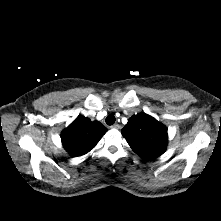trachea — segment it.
I'll return each mask as SVG.
<instances>
[{
    "mask_svg": "<svg viewBox=\"0 0 221 221\" xmlns=\"http://www.w3.org/2000/svg\"><path fill=\"white\" fill-rule=\"evenodd\" d=\"M115 116L114 115H109L107 116L105 122L108 124V125H113L115 123Z\"/></svg>",
    "mask_w": 221,
    "mask_h": 221,
    "instance_id": "trachea-1",
    "label": "trachea"
}]
</instances>
